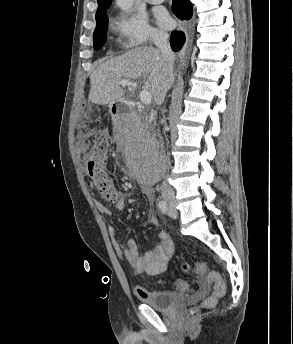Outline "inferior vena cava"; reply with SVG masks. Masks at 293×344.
Here are the masks:
<instances>
[{"mask_svg": "<svg viewBox=\"0 0 293 344\" xmlns=\"http://www.w3.org/2000/svg\"><path fill=\"white\" fill-rule=\"evenodd\" d=\"M168 34L158 31L152 34V41L159 49L164 65V70L166 74L170 75L173 72V63H174V53L170 47ZM164 101V98H163ZM162 101V102H163ZM161 194L163 198H173L174 192L170 185L168 184L167 179L165 178L161 186Z\"/></svg>", "mask_w": 293, "mask_h": 344, "instance_id": "602c4592", "label": "inferior vena cava"}]
</instances>
